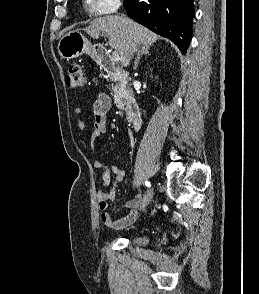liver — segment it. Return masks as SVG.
Returning a JSON list of instances; mask_svg holds the SVG:
<instances>
[{
  "label": "liver",
  "mask_w": 259,
  "mask_h": 294,
  "mask_svg": "<svg viewBox=\"0 0 259 294\" xmlns=\"http://www.w3.org/2000/svg\"><path fill=\"white\" fill-rule=\"evenodd\" d=\"M83 30L93 38H98L101 34L108 36L109 45L120 55L124 67L130 63L131 44L152 45L159 39L158 35L146 27L117 15L96 18Z\"/></svg>",
  "instance_id": "1"
}]
</instances>
